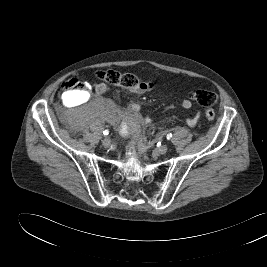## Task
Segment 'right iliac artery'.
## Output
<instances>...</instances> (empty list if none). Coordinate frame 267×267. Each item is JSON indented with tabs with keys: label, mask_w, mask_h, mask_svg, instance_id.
<instances>
[{
	"label": "right iliac artery",
	"mask_w": 267,
	"mask_h": 267,
	"mask_svg": "<svg viewBox=\"0 0 267 267\" xmlns=\"http://www.w3.org/2000/svg\"><path fill=\"white\" fill-rule=\"evenodd\" d=\"M103 134L104 135H108L109 134V131L108 130H105V131H103Z\"/></svg>",
	"instance_id": "1"
}]
</instances>
